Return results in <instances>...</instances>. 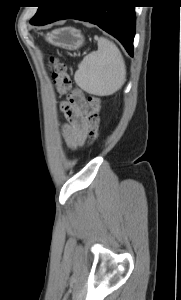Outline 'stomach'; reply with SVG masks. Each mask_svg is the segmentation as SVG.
<instances>
[{
  "label": "stomach",
  "instance_id": "stomach-1",
  "mask_svg": "<svg viewBox=\"0 0 181 300\" xmlns=\"http://www.w3.org/2000/svg\"><path fill=\"white\" fill-rule=\"evenodd\" d=\"M46 41L50 44L66 50H77L84 43L81 32L73 27L55 29L46 35Z\"/></svg>",
  "mask_w": 181,
  "mask_h": 300
}]
</instances>
